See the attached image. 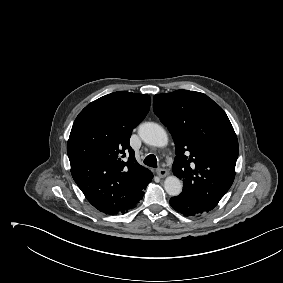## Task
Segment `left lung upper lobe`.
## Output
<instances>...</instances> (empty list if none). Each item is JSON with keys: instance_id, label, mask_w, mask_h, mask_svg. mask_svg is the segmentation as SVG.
Listing matches in <instances>:
<instances>
[{"instance_id": "1", "label": "left lung upper lobe", "mask_w": 283, "mask_h": 283, "mask_svg": "<svg viewBox=\"0 0 283 283\" xmlns=\"http://www.w3.org/2000/svg\"><path fill=\"white\" fill-rule=\"evenodd\" d=\"M153 110L173 136L175 176L183 192L215 208L231 187L239 147L224 110L203 93L176 90L157 94Z\"/></svg>"}]
</instances>
